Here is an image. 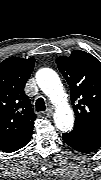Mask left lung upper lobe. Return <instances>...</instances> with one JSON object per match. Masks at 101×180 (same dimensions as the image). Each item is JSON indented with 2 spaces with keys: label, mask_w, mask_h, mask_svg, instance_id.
<instances>
[{
  "label": "left lung upper lobe",
  "mask_w": 101,
  "mask_h": 180,
  "mask_svg": "<svg viewBox=\"0 0 101 180\" xmlns=\"http://www.w3.org/2000/svg\"><path fill=\"white\" fill-rule=\"evenodd\" d=\"M57 66L69 84L76 115L75 128L101 136V63L91 54L75 50L57 58Z\"/></svg>",
  "instance_id": "left-lung-upper-lobe-1"
}]
</instances>
